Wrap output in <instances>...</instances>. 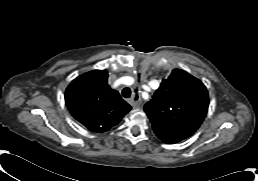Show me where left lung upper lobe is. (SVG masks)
Segmentation results:
<instances>
[{"instance_id":"1","label":"left lung upper lobe","mask_w":258,"mask_h":181,"mask_svg":"<svg viewBox=\"0 0 258 181\" xmlns=\"http://www.w3.org/2000/svg\"><path fill=\"white\" fill-rule=\"evenodd\" d=\"M209 97L204 84L187 72L174 69L162 80L153 99L144 106L154 132L179 139L191 136L208 111Z\"/></svg>"}]
</instances>
